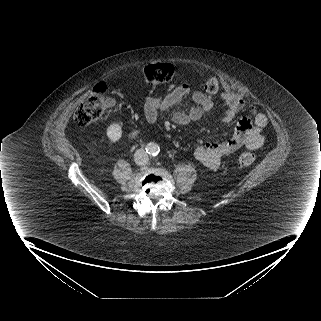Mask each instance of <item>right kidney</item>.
Listing matches in <instances>:
<instances>
[{
  "label": "right kidney",
  "instance_id": "1",
  "mask_svg": "<svg viewBox=\"0 0 321 321\" xmlns=\"http://www.w3.org/2000/svg\"><path fill=\"white\" fill-rule=\"evenodd\" d=\"M106 136L111 142L118 141L122 136V127L119 123H112L106 130Z\"/></svg>",
  "mask_w": 321,
  "mask_h": 321
}]
</instances>
